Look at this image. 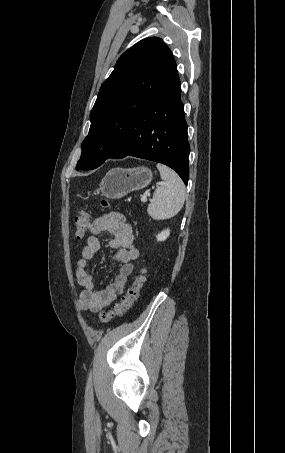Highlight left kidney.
I'll use <instances>...</instances> for the list:
<instances>
[{
    "label": "left kidney",
    "mask_w": 285,
    "mask_h": 453,
    "mask_svg": "<svg viewBox=\"0 0 285 453\" xmlns=\"http://www.w3.org/2000/svg\"><path fill=\"white\" fill-rule=\"evenodd\" d=\"M170 235V230L169 229H166V230H163L161 233H159L156 237H157V241H164L166 240Z\"/></svg>",
    "instance_id": "left-kidney-1"
}]
</instances>
